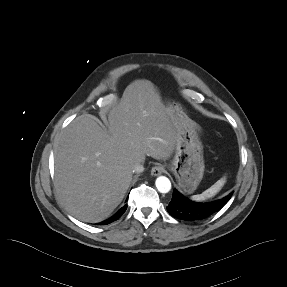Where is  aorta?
I'll return each instance as SVG.
<instances>
[{"label":"aorta","instance_id":"aorta-1","mask_svg":"<svg viewBox=\"0 0 287 287\" xmlns=\"http://www.w3.org/2000/svg\"><path fill=\"white\" fill-rule=\"evenodd\" d=\"M155 185L160 193H168L171 190V182L165 176H159L155 181Z\"/></svg>","mask_w":287,"mask_h":287}]
</instances>
